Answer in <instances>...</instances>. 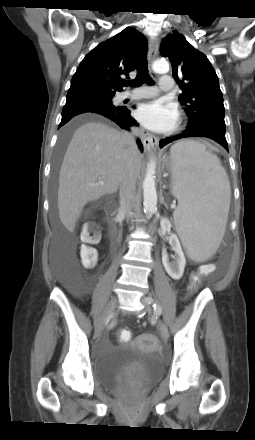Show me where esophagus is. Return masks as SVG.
Instances as JSON below:
<instances>
[{"mask_svg":"<svg viewBox=\"0 0 255 440\" xmlns=\"http://www.w3.org/2000/svg\"><path fill=\"white\" fill-rule=\"evenodd\" d=\"M158 53V38L157 37H153L150 40V44H149V53H148V60H149V64L150 66L152 65V62L154 61V59L156 58ZM142 143L144 146V149L148 152L156 149L157 145H158V139L149 134L148 132L142 131Z\"/></svg>","mask_w":255,"mask_h":440,"instance_id":"obj_1","label":"esophagus"}]
</instances>
